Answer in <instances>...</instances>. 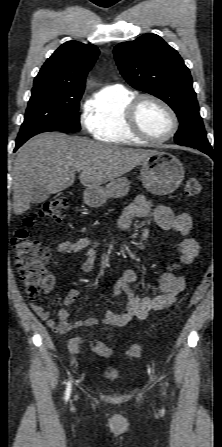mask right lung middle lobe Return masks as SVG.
Segmentation results:
<instances>
[{"instance_id": "right-lung-middle-lobe-1", "label": "right lung middle lobe", "mask_w": 222, "mask_h": 447, "mask_svg": "<svg viewBox=\"0 0 222 447\" xmlns=\"http://www.w3.org/2000/svg\"><path fill=\"white\" fill-rule=\"evenodd\" d=\"M81 96L65 95L50 87L33 88L16 146L20 147L29 138L42 132L79 131Z\"/></svg>"}]
</instances>
